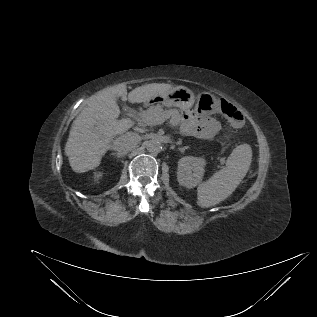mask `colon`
I'll list each match as a JSON object with an SVG mask.
<instances>
[{
  "mask_svg": "<svg viewBox=\"0 0 317 317\" xmlns=\"http://www.w3.org/2000/svg\"><path fill=\"white\" fill-rule=\"evenodd\" d=\"M221 113L227 117L236 127L243 125V115L241 112L227 101H222L220 104Z\"/></svg>",
  "mask_w": 317,
  "mask_h": 317,
  "instance_id": "1",
  "label": "colon"
}]
</instances>
